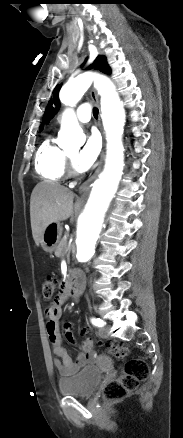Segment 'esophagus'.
Segmentation results:
<instances>
[{
  "label": "esophagus",
  "mask_w": 183,
  "mask_h": 438,
  "mask_svg": "<svg viewBox=\"0 0 183 438\" xmlns=\"http://www.w3.org/2000/svg\"><path fill=\"white\" fill-rule=\"evenodd\" d=\"M90 96H91L92 100L97 104V106H99V97H98V94L94 88L91 89ZM104 146H105V142L103 143V149L101 151L100 160L98 162V166H97L95 172L80 186L79 193L85 192L90 187L91 183L99 175V173L102 169V166H103L104 158H105Z\"/></svg>",
  "instance_id": "obj_1"
}]
</instances>
